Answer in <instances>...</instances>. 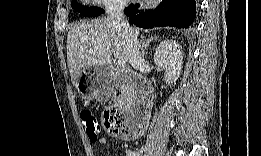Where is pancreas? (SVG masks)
Instances as JSON below:
<instances>
[{"instance_id": "pancreas-1", "label": "pancreas", "mask_w": 261, "mask_h": 156, "mask_svg": "<svg viewBox=\"0 0 261 156\" xmlns=\"http://www.w3.org/2000/svg\"><path fill=\"white\" fill-rule=\"evenodd\" d=\"M132 97L131 90L128 85L122 87L121 95H119L118 100L122 103L129 104Z\"/></svg>"}]
</instances>
